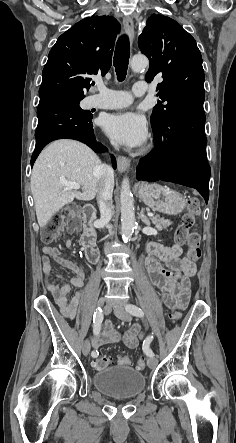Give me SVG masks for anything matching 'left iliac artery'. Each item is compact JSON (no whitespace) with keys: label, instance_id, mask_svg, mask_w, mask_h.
Instances as JSON below:
<instances>
[{"label":"left iliac artery","instance_id":"obj_1","mask_svg":"<svg viewBox=\"0 0 236 443\" xmlns=\"http://www.w3.org/2000/svg\"><path fill=\"white\" fill-rule=\"evenodd\" d=\"M125 309H126L127 312H129L133 316H137V317H143L144 316V312L142 311V309L139 308L138 306L134 305V304L126 305ZM153 338H154V336H153V333H152V335H149L144 340V342H143V351L149 357L154 356V353L150 349V343L153 340Z\"/></svg>","mask_w":236,"mask_h":443}]
</instances>
